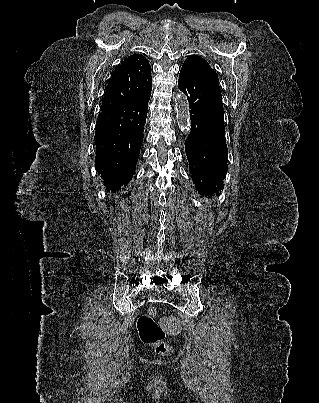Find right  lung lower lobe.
Instances as JSON below:
<instances>
[{
	"label": "right lung lower lobe",
	"mask_w": 319,
	"mask_h": 403,
	"mask_svg": "<svg viewBox=\"0 0 319 403\" xmlns=\"http://www.w3.org/2000/svg\"><path fill=\"white\" fill-rule=\"evenodd\" d=\"M150 94L121 106L101 110L96 121L95 166L106 189L126 186L135 172L143 141Z\"/></svg>",
	"instance_id": "obj_1"
}]
</instances>
